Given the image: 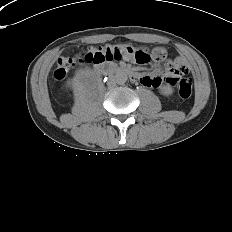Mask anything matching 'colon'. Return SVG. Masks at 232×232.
Listing matches in <instances>:
<instances>
[{
    "instance_id": "1",
    "label": "colon",
    "mask_w": 232,
    "mask_h": 232,
    "mask_svg": "<svg viewBox=\"0 0 232 232\" xmlns=\"http://www.w3.org/2000/svg\"><path fill=\"white\" fill-rule=\"evenodd\" d=\"M152 57L155 60H164L165 51L157 48ZM127 60L140 65L147 64L150 61V55L144 50H136L131 46H109L99 49H91L77 56L76 59L62 57L58 60L56 69L53 72V77L56 80H62L68 71L77 63L83 64H99L105 61L112 60ZM169 77L167 82L176 86L179 96L183 99L190 97L192 93V85L189 78L186 77L187 71L179 69L174 64L167 66Z\"/></svg>"
}]
</instances>
